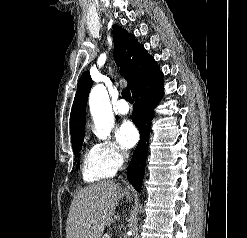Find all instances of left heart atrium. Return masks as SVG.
I'll return each mask as SVG.
<instances>
[{
  "instance_id": "left-heart-atrium-1",
  "label": "left heart atrium",
  "mask_w": 247,
  "mask_h": 238,
  "mask_svg": "<svg viewBox=\"0 0 247 238\" xmlns=\"http://www.w3.org/2000/svg\"><path fill=\"white\" fill-rule=\"evenodd\" d=\"M116 138L121 147L129 149L137 143L139 134L132 122L124 121L116 131Z\"/></svg>"
}]
</instances>
